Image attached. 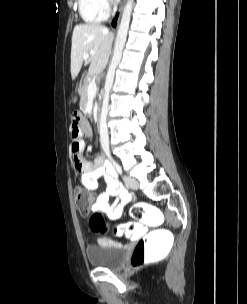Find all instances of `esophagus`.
<instances>
[{"label":"esophagus","instance_id":"34e87169","mask_svg":"<svg viewBox=\"0 0 247 304\" xmlns=\"http://www.w3.org/2000/svg\"><path fill=\"white\" fill-rule=\"evenodd\" d=\"M126 0H123L118 11L114 14V16L111 19V29L112 31H116L119 25V21L125 6Z\"/></svg>","mask_w":247,"mask_h":304}]
</instances>
